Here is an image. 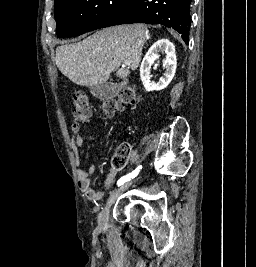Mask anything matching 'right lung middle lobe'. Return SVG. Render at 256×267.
I'll list each match as a JSON object with an SVG mask.
<instances>
[{
	"instance_id": "obj_1",
	"label": "right lung middle lobe",
	"mask_w": 256,
	"mask_h": 267,
	"mask_svg": "<svg viewBox=\"0 0 256 267\" xmlns=\"http://www.w3.org/2000/svg\"><path fill=\"white\" fill-rule=\"evenodd\" d=\"M136 0H58L55 2L56 34L78 36L102 28Z\"/></svg>"
}]
</instances>
